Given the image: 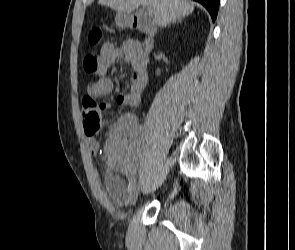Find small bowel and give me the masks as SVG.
Masks as SVG:
<instances>
[{
    "label": "small bowel",
    "mask_w": 295,
    "mask_h": 250,
    "mask_svg": "<svg viewBox=\"0 0 295 250\" xmlns=\"http://www.w3.org/2000/svg\"><path fill=\"white\" fill-rule=\"evenodd\" d=\"M143 56L142 47L137 41L130 40L121 46L105 43L98 57V80L86 87V95L97 98L109 94L114 88V82L108 76V68L115 62L125 61L133 67L134 73L129 92L118 95L117 103L122 106H137L148 81L147 77L144 78L139 73ZM100 106L103 112L111 108L109 103H101ZM86 146L91 155H96L99 151V144L93 137L86 138ZM141 147V130L136 119L131 115L120 117L112 126L106 143L108 172L105 182L109 191L117 199L123 198L126 187L116 171L129 162H136L140 156Z\"/></svg>",
    "instance_id": "obj_1"
}]
</instances>
